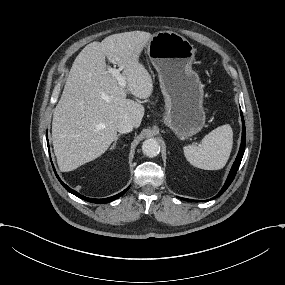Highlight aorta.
Masks as SVG:
<instances>
[{
    "instance_id": "obj_1",
    "label": "aorta",
    "mask_w": 285,
    "mask_h": 285,
    "mask_svg": "<svg viewBox=\"0 0 285 285\" xmlns=\"http://www.w3.org/2000/svg\"><path fill=\"white\" fill-rule=\"evenodd\" d=\"M142 152L147 157L153 158L160 152V146L156 139L150 138L143 142Z\"/></svg>"
}]
</instances>
